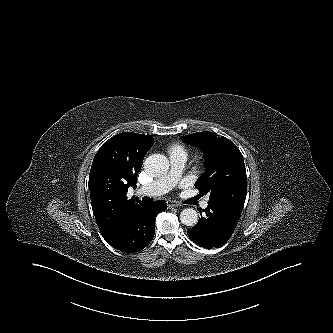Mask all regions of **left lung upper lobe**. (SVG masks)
Wrapping results in <instances>:
<instances>
[{
	"mask_svg": "<svg viewBox=\"0 0 333 333\" xmlns=\"http://www.w3.org/2000/svg\"><path fill=\"white\" fill-rule=\"evenodd\" d=\"M181 138L203 149L206 155V172L198 178L195 187L200 192L210 194L209 202L241 215L247 177L240 150L226 137L209 131Z\"/></svg>",
	"mask_w": 333,
	"mask_h": 333,
	"instance_id": "obj_1",
	"label": "left lung upper lobe"
}]
</instances>
